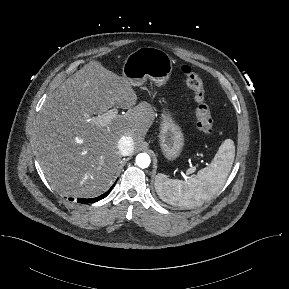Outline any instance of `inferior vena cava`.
<instances>
[{
    "label": "inferior vena cava",
    "mask_w": 289,
    "mask_h": 289,
    "mask_svg": "<svg viewBox=\"0 0 289 289\" xmlns=\"http://www.w3.org/2000/svg\"><path fill=\"white\" fill-rule=\"evenodd\" d=\"M118 149L121 155L128 156L134 150L133 139L131 136L124 135L119 139Z\"/></svg>",
    "instance_id": "602c4592"
}]
</instances>
